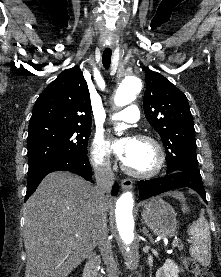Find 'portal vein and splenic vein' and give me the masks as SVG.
<instances>
[{
    "label": "portal vein and splenic vein",
    "instance_id": "obj_1",
    "mask_svg": "<svg viewBox=\"0 0 221 277\" xmlns=\"http://www.w3.org/2000/svg\"><path fill=\"white\" fill-rule=\"evenodd\" d=\"M178 243H179V240L177 238H175V240L172 243V246L176 247V246H178Z\"/></svg>",
    "mask_w": 221,
    "mask_h": 277
}]
</instances>
